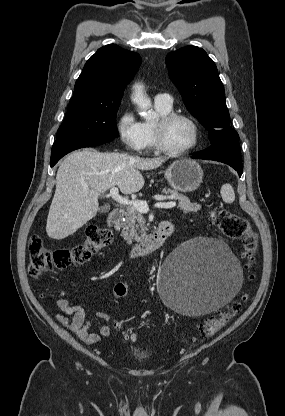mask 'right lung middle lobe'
Here are the masks:
<instances>
[{
	"label": "right lung middle lobe",
	"instance_id": "right-lung-middle-lobe-1",
	"mask_svg": "<svg viewBox=\"0 0 285 416\" xmlns=\"http://www.w3.org/2000/svg\"><path fill=\"white\" fill-rule=\"evenodd\" d=\"M121 100L86 102L71 99L56 140L65 138H116V114Z\"/></svg>",
	"mask_w": 285,
	"mask_h": 416
}]
</instances>
